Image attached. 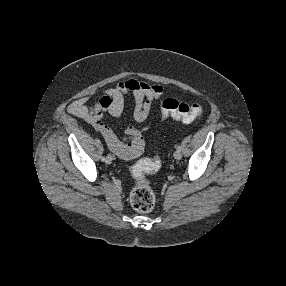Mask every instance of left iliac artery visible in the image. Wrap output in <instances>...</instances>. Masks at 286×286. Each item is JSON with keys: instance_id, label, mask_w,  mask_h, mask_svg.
Masks as SVG:
<instances>
[{"instance_id": "left-iliac-artery-1", "label": "left iliac artery", "mask_w": 286, "mask_h": 286, "mask_svg": "<svg viewBox=\"0 0 286 286\" xmlns=\"http://www.w3.org/2000/svg\"><path fill=\"white\" fill-rule=\"evenodd\" d=\"M176 149L179 150V151H181V146L178 144V145L176 146Z\"/></svg>"}]
</instances>
